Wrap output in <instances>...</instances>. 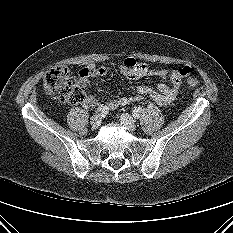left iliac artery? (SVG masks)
Segmentation results:
<instances>
[{
  "instance_id": "1",
  "label": "left iliac artery",
  "mask_w": 233,
  "mask_h": 233,
  "mask_svg": "<svg viewBox=\"0 0 233 233\" xmlns=\"http://www.w3.org/2000/svg\"><path fill=\"white\" fill-rule=\"evenodd\" d=\"M143 109L142 107H136L134 110H133V117L134 118H138L139 115L142 113Z\"/></svg>"
}]
</instances>
